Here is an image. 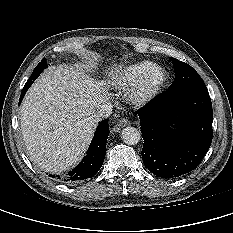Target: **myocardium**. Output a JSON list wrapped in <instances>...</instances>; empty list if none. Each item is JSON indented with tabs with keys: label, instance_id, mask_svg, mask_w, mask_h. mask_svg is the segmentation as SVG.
I'll use <instances>...</instances> for the list:
<instances>
[{
	"label": "myocardium",
	"instance_id": "1",
	"mask_svg": "<svg viewBox=\"0 0 233 233\" xmlns=\"http://www.w3.org/2000/svg\"><path fill=\"white\" fill-rule=\"evenodd\" d=\"M167 81V71L155 65L134 85L130 93L131 101L136 105L148 103L158 95Z\"/></svg>",
	"mask_w": 233,
	"mask_h": 233
}]
</instances>
